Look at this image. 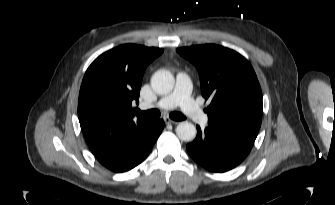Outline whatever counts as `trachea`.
I'll return each mask as SVG.
<instances>
[{"instance_id": "trachea-1", "label": "trachea", "mask_w": 335, "mask_h": 205, "mask_svg": "<svg viewBox=\"0 0 335 205\" xmlns=\"http://www.w3.org/2000/svg\"><path fill=\"white\" fill-rule=\"evenodd\" d=\"M137 112H138V114H140L142 116H147V117H158L161 114L158 109H151V110H148V111L137 110ZM169 116H170V118H172L175 121H182V120L186 119V117L180 112H172V113H170Z\"/></svg>"}]
</instances>
